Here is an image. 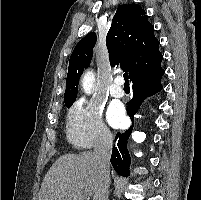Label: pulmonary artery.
Returning <instances> with one entry per match:
<instances>
[{
    "instance_id": "e3ab8cb5",
    "label": "pulmonary artery",
    "mask_w": 201,
    "mask_h": 200,
    "mask_svg": "<svg viewBox=\"0 0 201 200\" xmlns=\"http://www.w3.org/2000/svg\"><path fill=\"white\" fill-rule=\"evenodd\" d=\"M111 96L115 98H121L124 96V90L122 88V78L120 76H116L112 86L109 89Z\"/></svg>"
}]
</instances>
